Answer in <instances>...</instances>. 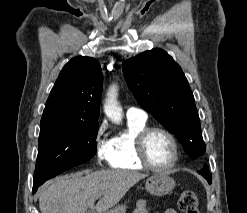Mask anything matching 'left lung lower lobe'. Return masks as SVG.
Masks as SVG:
<instances>
[{
    "instance_id": "1",
    "label": "left lung lower lobe",
    "mask_w": 247,
    "mask_h": 213,
    "mask_svg": "<svg viewBox=\"0 0 247 213\" xmlns=\"http://www.w3.org/2000/svg\"><path fill=\"white\" fill-rule=\"evenodd\" d=\"M198 173L203 175L208 180V182L211 183L212 181L211 174L207 168L202 169Z\"/></svg>"
}]
</instances>
